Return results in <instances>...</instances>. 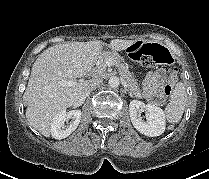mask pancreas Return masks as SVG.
I'll use <instances>...</instances> for the list:
<instances>
[{
  "instance_id": "obj_1",
  "label": "pancreas",
  "mask_w": 209,
  "mask_h": 179,
  "mask_svg": "<svg viewBox=\"0 0 209 179\" xmlns=\"http://www.w3.org/2000/svg\"><path fill=\"white\" fill-rule=\"evenodd\" d=\"M107 59H111L113 64L118 68L119 74L125 80L130 94L137 98H142L140 86L137 80L127 69L124 59L115 52L102 53L97 62L95 77L99 79L106 77Z\"/></svg>"
}]
</instances>
